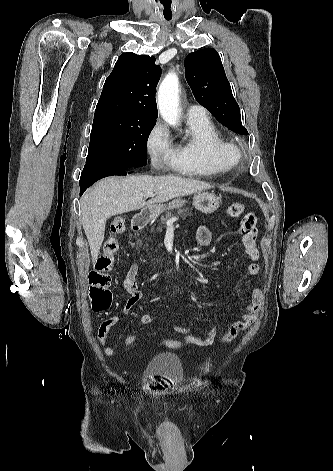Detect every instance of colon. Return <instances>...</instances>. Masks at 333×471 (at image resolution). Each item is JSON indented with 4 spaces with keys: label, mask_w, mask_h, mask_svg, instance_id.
<instances>
[{
    "label": "colon",
    "mask_w": 333,
    "mask_h": 471,
    "mask_svg": "<svg viewBox=\"0 0 333 471\" xmlns=\"http://www.w3.org/2000/svg\"><path fill=\"white\" fill-rule=\"evenodd\" d=\"M244 211V205L240 202L233 203L227 209L229 217H238ZM125 222L123 218L113 219L110 231L111 235L104 243L101 256L97 259L94 269L89 273V296L93 310L105 311L110 308L112 303V293L110 291L111 275L115 256L119 250L118 236L124 231ZM137 342L136 335H128L124 339L126 347H132ZM162 344L170 349H179L184 343L182 340L165 339Z\"/></svg>",
    "instance_id": "colon-1"
}]
</instances>
